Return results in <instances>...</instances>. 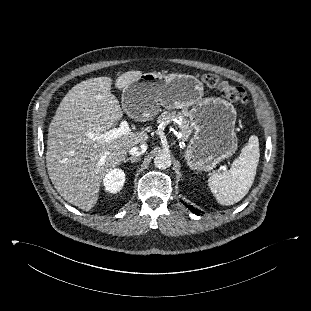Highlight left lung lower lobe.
Wrapping results in <instances>:
<instances>
[{
	"mask_svg": "<svg viewBox=\"0 0 311 311\" xmlns=\"http://www.w3.org/2000/svg\"><path fill=\"white\" fill-rule=\"evenodd\" d=\"M188 207H189V209H190L192 212L196 213L197 215H200V211H198L197 209L192 208L191 206H188Z\"/></svg>",
	"mask_w": 311,
	"mask_h": 311,
	"instance_id": "obj_1",
	"label": "left lung lower lobe"
}]
</instances>
